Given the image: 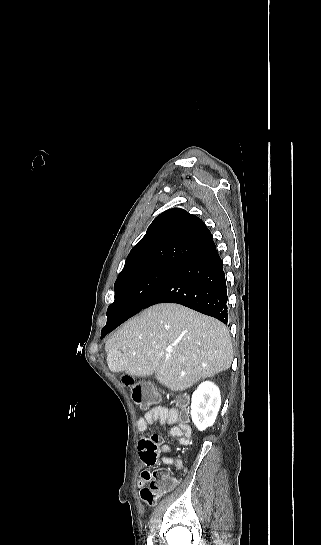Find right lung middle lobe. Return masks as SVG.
<instances>
[{
  "mask_svg": "<svg viewBox=\"0 0 321 545\" xmlns=\"http://www.w3.org/2000/svg\"><path fill=\"white\" fill-rule=\"evenodd\" d=\"M177 268L152 265L119 274L114 285L115 300L107 312V323L111 322V316L116 320H127L141 311Z\"/></svg>",
  "mask_w": 321,
  "mask_h": 545,
  "instance_id": "dd1d6c3e",
  "label": "right lung middle lobe"
}]
</instances>
